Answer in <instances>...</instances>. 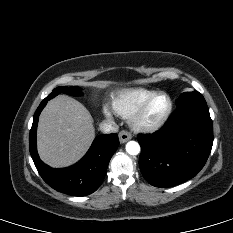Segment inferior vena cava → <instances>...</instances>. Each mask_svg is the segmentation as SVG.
Instances as JSON below:
<instances>
[{
  "mask_svg": "<svg viewBox=\"0 0 233 233\" xmlns=\"http://www.w3.org/2000/svg\"><path fill=\"white\" fill-rule=\"evenodd\" d=\"M100 130L103 133H115L118 132L119 126L112 120L103 121L100 125Z\"/></svg>",
  "mask_w": 233,
  "mask_h": 233,
  "instance_id": "602c4592",
  "label": "inferior vena cava"
}]
</instances>
